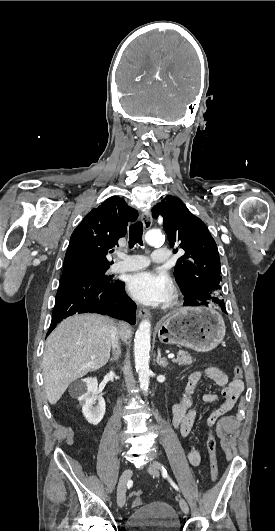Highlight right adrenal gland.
<instances>
[{
  "instance_id": "obj_1",
  "label": "right adrenal gland",
  "mask_w": 275,
  "mask_h": 531,
  "mask_svg": "<svg viewBox=\"0 0 275 531\" xmlns=\"http://www.w3.org/2000/svg\"><path fill=\"white\" fill-rule=\"evenodd\" d=\"M116 359H119V351L116 353L115 357L113 359H110V361H116Z\"/></svg>"
}]
</instances>
